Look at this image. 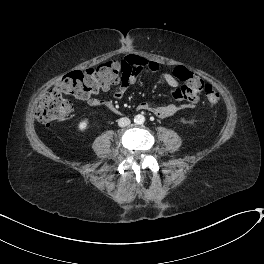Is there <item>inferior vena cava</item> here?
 Returning <instances> with one entry per match:
<instances>
[{
  "instance_id": "1",
  "label": "inferior vena cava",
  "mask_w": 264,
  "mask_h": 264,
  "mask_svg": "<svg viewBox=\"0 0 264 264\" xmlns=\"http://www.w3.org/2000/svg\"><path fill=\"white\" fill-rule=\"evenodd\" d=\"M130 123H131V121H130V119L127 118V117H123V118H120V119L118 120V125H119L120 127H126V126H129Z\"/></svg>"
}]
</instances>
